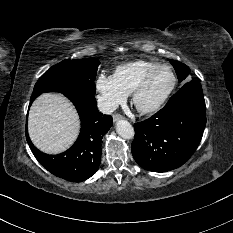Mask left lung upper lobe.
<instances>
[{
  "instance_id": "left-lung-upper-lobe-1",
  "label": "left lung upper lobe",
  "mask_w": 233,
  "mask_h": 233,
  "mask_svg": "<svg viewBox=\"0 0 233 233\" xmlns=\"http://www.w3.org/2000/svg\"><path fill=\"white\" fill-rule=\"evenodd\" d=\"M171 64L174 66L175 71L177 73V77L179 81H182L187 78V76L190 73V69L188 66L184 65L183 63H180L178 61H171Z\"/></svg>"
}]
</instances>
